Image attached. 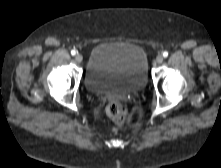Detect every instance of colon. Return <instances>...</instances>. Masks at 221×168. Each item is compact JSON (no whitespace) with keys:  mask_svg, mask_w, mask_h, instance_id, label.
Wrapping results in <instances>:
<instances>
[{"mask_svg":"<svg viewBox=\"0 0 221 168\" xmlns=\"http://www.w3.org/2000/svg\"><path fill=\"white\" fill-rule=\"evenodd\" d=\"M107 113L117 124H123L128 118L127 107L116 100H112L107 105Z\"/></svg>","mask_w":221,"mask_h":168,"instance_id":"5ec220e1","label":"colon"}]
</instances>
